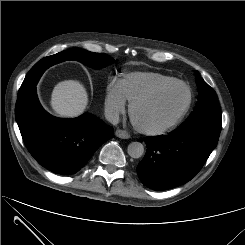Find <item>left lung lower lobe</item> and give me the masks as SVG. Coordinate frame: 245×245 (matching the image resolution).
I'll list each match as a JSON object with an SVG mask.
<instances>
[{
  "label": "left lung lower lobe",
  "mask_w": 245,
  "mask_h": 245,
  "mask_svg": "<svg viewBox=\"0 0 245 245\" xmlns=\"http://www.w3.org/2000/svg\"><path fill=\"white\" fill-rule=\"evenodd\" d=\"M221 129L208 125L181 126L168 135L146 137L147 151L137 166L141 182L166 190L190 181L217 145Z\"/></svg>",
  "instance_id": "left-lung-lower-lobe-1"
}]
</instances>
